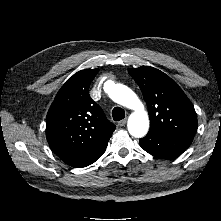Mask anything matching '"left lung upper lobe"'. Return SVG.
I'll return each mask as SVG.
<instances>
[{
	"label": "left lung upper lobe",
	"instance_id": "left-lung-upper-lobe-1",
	"mask_svg": "<svg viewBox=\"0 0 221 221\" xmlns=\"http://www.w3.org/2000/svg\"><path fill=\"white\" fill-rule=\"evenodd\" d=\"M148 106L150 131L168 136L194 137L195 109L181 88L165 73L150 67L129 69Z\"/></svg>",
	"mask_w": 221,
	"mask_h": 221
}]
</instances>
